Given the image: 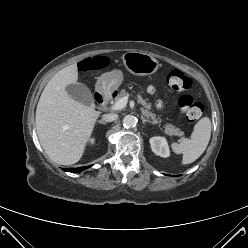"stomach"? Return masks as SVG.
I'll return each instance as SVG.
<instances>
[{"label":"stomach","instance_id":"obj_1","mask_svg":"<svg viewBox=\"0 0 248 248\" xmlns=\"http://www.w3.org/2000/svg\"><path fill=\"white\" fill-rule=\"evenodd\" d=\"M126 69L134 75L146 76L159 69V62L152 56L140 52H126L122 55ZM124 75L122 71L114 69L102 74L96 83V90L103 95H111L122 84Z\"/></svg>","mask_w":248,"mask_h":248}]
</instances>
